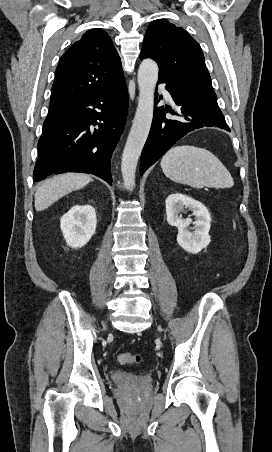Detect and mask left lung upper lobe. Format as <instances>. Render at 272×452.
<instances>
[{
  "label": "left lung upper lobe",
  "mask_w": 272,
  "mask_h": 452,
  "mask_svg": "<svg viewBox=\"0 0 272 452\" xmlns=\"http://www.w3.org/2000/svg\"><path fill=\"white\" fill-rule=\"evenodd\" d=\"M144 58L158 63L159 77L214 92L199 44L183 28L167 20H155L148 26L140 54V59Z\"/></svg>",
  "instance_id": "left-lung-upper-lobe-1"
}]
</instances>
